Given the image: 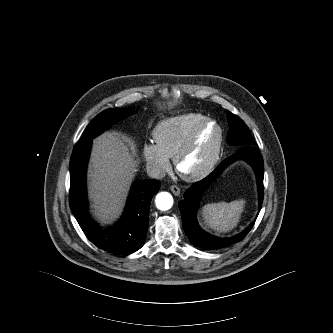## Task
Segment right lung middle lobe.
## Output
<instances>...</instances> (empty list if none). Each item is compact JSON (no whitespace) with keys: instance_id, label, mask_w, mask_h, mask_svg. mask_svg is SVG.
<instances>
[{"instance_id":"dd1d6c3e","label":"right lung middle lobe","mask_w":333,"mask_h":333,"mask_svg":"<svg viewBox=\"0 0 333 333\" xmlns=\"http://www.w3.org/2000/svg\"><path fill=\"white\" fill-rule=\"evenodd\" d=\"M131 113L132 111L130 109L121 108L107 109L101 112L88 125L81 140H89L96 137L105 131L111 124L119 119L129 116Z\"/></svg>"}]
</instances>
